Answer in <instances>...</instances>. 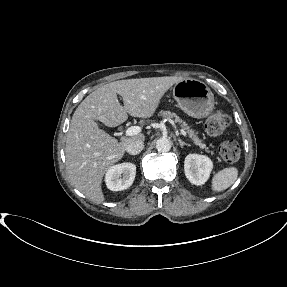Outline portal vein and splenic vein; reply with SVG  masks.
<instances>
[{"label": "portal vein and splenic vein", "mask_w": 287, "mask_h": 287, "mask_svg": "<svg viewBox=\"0 0 287 287\" xmlns=\"http://www.w3.org/2000/svg\"><path fill=\"white\" fill-rule=\"evenodd\" d=\"M140 132H141L140 126H131L126 130L125 134L126 136H134L139 134ZM180 133L185 137L187 136L186 132L183 129L180 130Z\"/></svg>", "instance_id": "18ae733b"}]
</instances>
